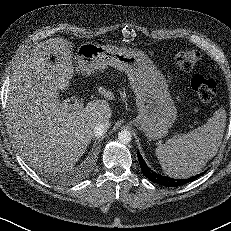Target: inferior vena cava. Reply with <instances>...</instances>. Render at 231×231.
Wrapping results in <instances>:
<instances>
[{
    "mask_svg": "<svg viewBox=\"0 0 231 231\" xmlns=\"http://www.w3.org/2000/svg\"><path fill=\"white\" fill-rule=\"evenodd\" d=\"M109 127H110L109 121L97 123L94 127V135L97 138L103 136L107 132Z\"/></svg>",
    "mask_w": 231,
    "mask_h": 231,
    "instance_id": "obj_1",
    "label": "inferior vena cava"
}]
</instances>
